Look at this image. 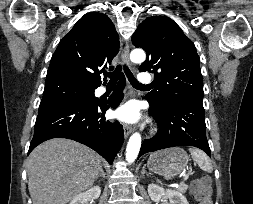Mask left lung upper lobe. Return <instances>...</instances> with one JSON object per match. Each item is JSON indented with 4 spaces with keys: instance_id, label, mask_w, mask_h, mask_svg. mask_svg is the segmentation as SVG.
<instances>
[{
    "instance_id": "left-lung-upper-lobe-1",
    "label": "left lung upper lobe",
    "mask_w": 253,
    "mask_h": 204,
    "mask_svg": "<svg viewBox=\"0 0 253 204\" xmlns=\"http://www.w3.org/2000/svg\"><path fill=\"white\" fill-rule=\"evenodd\" d=\"M132 43L147 54L139 71L154 73L156 87L146 96L149 104L163 109L173 103L203 99L196 48L172 19L146 18L132 35Z\"/></svg>"
}]
</instances>
